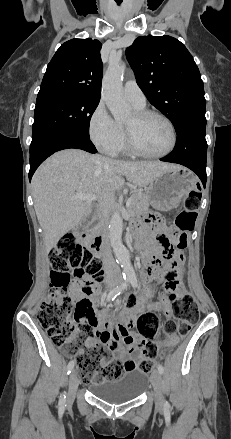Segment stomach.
Segmentation results:
<instances>
[{
	"label": "stomach",
	"instance_id": "0dacf381",
	"mask_svg": "<svg viewBox=\"0 0 231 439\" xmlns=\"http://www.w3.org/2000/svg\"><path fill=\"white\" fill-rule=\"evenodd\" d=\"M196 188V176L188 169L178 167L158 175L146 187L145 193L154 208L169 211Z\"/></svg>",
	"mask_w": 231,
	"mask_h": 439
}]
</instances>
